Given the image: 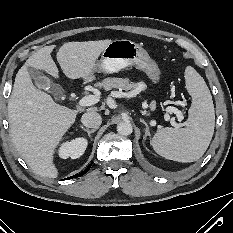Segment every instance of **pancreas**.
I'll list each match as a JSON object with an SVG mask.
<instances>
[{
  "label": "pancreas",
  "instance_id": "obj_1",
  "mask_svg": "<svg viewBox=\"0 0 233 233\" xmlns=\"http://www.w3.org/2000/svg\"><path fill=\"white\" fill-rule=\"evenodd\" d=\"M141 86L144 87V84L132 83L128 78H106L100 83V87H103L106 91L113 88L119 91L137 90ZM152 105H154V102H152Z\"/></svg>",
  "mask_w": 233,
  "mask_h": 233
}]
</instances>
